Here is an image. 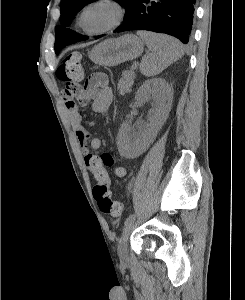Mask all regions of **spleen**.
I'll return each mask as SVG.
<instances>
[{"mask_svg":"<svg viewBox=\"0 0 245 300\" xmlns=\"http://www.w3.org/2000/svg\"><path fill=\"white\" fill-rule=\"evenodd\" d=\"M137 35L145 42L151 53L142 58L141 73L155 76L184 55L182 44L168 35L138 31Z\"/></svg>","mask_w":245,"mask_h":300,"instance_id":"1","label":"spleen"}]
</instances>
